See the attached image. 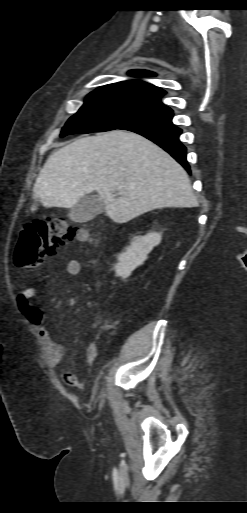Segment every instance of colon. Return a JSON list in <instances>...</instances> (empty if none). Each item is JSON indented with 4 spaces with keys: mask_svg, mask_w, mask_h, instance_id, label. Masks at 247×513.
<instances>
[{
    "mask_svg": "<svg viewBox=\"0 0 247 513\" xmlns=\"http://www.w3.org/2000/svg\"><path fill=\"white\" fill-rule=\"evenodd\" d=\"M89 239L88 232L61 218L35 220L21 228L13 251V262L18 268L42 266L62 245Z\"/></svg>",
    "mask_w": 247,
    "mask_h": 513,
    "instance_id": "5ec220e1",
    "label": "colon"
}]
</instances>
